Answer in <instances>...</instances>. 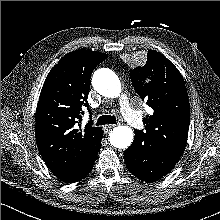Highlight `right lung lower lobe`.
Masks as SVG:
<instances>
[{"instance_id":"98d812e1","label":"right lung lower lobe","mask_w":220,"mask_h":220,"mask_svg":"<svg viewBox=\"0 0 220 220\" xmlns=\"http://www.w3.org/2000/svg\"><path fill=\"white\" fill-rule=\"evenodd\" d=\"M102 137H103V133L101 132V136H100V138L98 139V141H97V143L95 145V150H94L93 155L91 156V158H90L89 162L87 163V165L79 173V175H77L76 177H73L71 179L65 180L64 182L74 183V182L80 181L81 179L86 177V175H88V173L91 171V169L93 167V164H94V162L96 160L98 151H99V149L101 147V139H102Z\"/></svg>"}]
</instances>
